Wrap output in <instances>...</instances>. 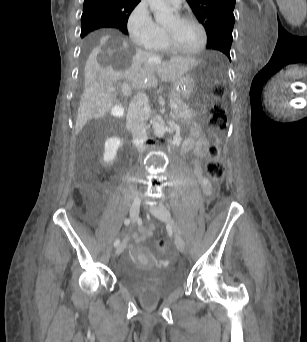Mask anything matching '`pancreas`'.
<instances>
[{
	"label": "pancreas",
	"mask_w": 307,
	"mask_h": 342,
	"mask_svg": "<svg viewBox=\"0 0 307 342\" xmlns=\"http://www.w3.org/2000/svg\"><path fill=\"white\" fill-rule=\"evenodd\" d=\"M170 100L173 102V104H180L181 102L178 94H171ZM195 114L197 117H202L204 113L202 110H198L196 107L193 106H180L178 110L173 112V116H176V118L194 117Z\"/></svg>",
	"instance_id": "pancreas-1"
}]
</instances>
